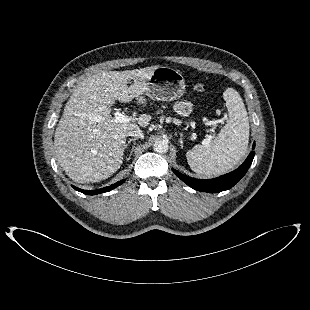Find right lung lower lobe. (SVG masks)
<instances>
[{
  "instance_id": "1",
  "label": "right lung lower lobe",
  "mask_w": 310,
  "mask_h": 310,
  "mask_svg": "<svg viewBox=\"0 0 310 310\" xmlns=\"http://www.w3.org/2000/svg\"><path fill=\"white\" fill-rule=\"evenodd\" d=\"M125 181V179L113 184V185H110L108 187H105V188H101V189H98V190H82V189H79L75 186H73V188L77 191H80L84 194H87V195H96V194H100V193H104V192H107V191H110L116 187H118L119 185H121L123 182Z\"/></svg>"
}]
</instances>
